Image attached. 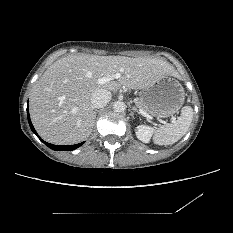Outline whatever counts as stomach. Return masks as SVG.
I'll list each match as a JSON object with an SVG mask.
<instances>
[{"instance_id": "1", "label": "stomach", "mask_w": 233, "mask_h": 233, "mask_svg": "<svg viewBox=\"0 0 233 233\" xmlns=\"http://www.w3.org/2000/svg\"><path fill=\"white\" fill-rule=\"evenodd\" d=\"M140 100L148 113L166 118L175 114L182 107L185 92L178 80L167 76L152 86L142 89Z\"/></svg>"}]
</instances>
